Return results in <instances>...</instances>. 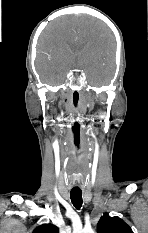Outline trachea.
<instances>
[{
    "label": "trachea",
    "mask_w": 148,
    "mask_h": 233,
    "mask_svg": "<svg viewBox=\"0 0 148 233\" xmlns=\"http://www.w3.org/2000/svg\"><path fill=\"white\" fill-rule=\"evenodd\" d=\"M71 202L76 209H80L82 206V192L81 191H71L70 192Z\"/></svg>",
    "instance_id": "trachea-1"
}]
</instances>
